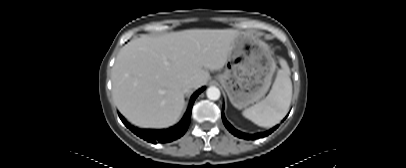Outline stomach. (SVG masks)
Segmentation results:
<instances>
[{"label":"stomach","instance_id":"stomach-1","mask_svg":"<svg viewBox=\"0 0 406 168\" xmlns=\"http://www.w3.org/2000/svg\"><path fill=\"white\" fill-rule=\"evenodd\" d=\"M276 67L273 52L265 42L239 32L218 80L232 105L242 109L266 95Z\"/></svg>","mask_w":406,"mask_h":168}]
</instances>
